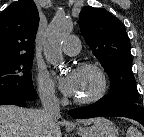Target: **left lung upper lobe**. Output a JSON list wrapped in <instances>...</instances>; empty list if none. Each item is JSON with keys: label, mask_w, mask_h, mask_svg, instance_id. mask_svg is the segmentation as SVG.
Here are the masks:
<instances>
[{"label": "left lung upper lobe", "mask_w": 144, "mask_h": 137, "mask_svg": "<svg viewBox=\"0 0 144 137\" xmlns=\"http://www.w3.org/2000/svg\"><path fill=\"white\" fill-rule=\"evenodd\" d=\"M81 33L110 79V92L101 100L107 105L139 103L131 70L130 42L124 25L103 8L84 7L79 15Z\"/></svg>", "instance_id": "left-lung-upper-lobe-1"}]
</instances>
